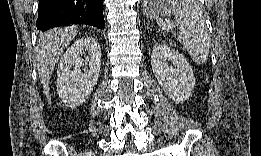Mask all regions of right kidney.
Wrapping results in <instances>:
<instances>
[{"label": "right kidney", "instance_id": "right-kidney-1", "mask_svg": "<svg viewBox=\"0 0 261 156\" xmlns=\"http://www.w3.org/2000/svg\"><path fill=\"white\" fill-rule=\"evenodd\" d=\"M84 52L88 53L85 67L81 58ZM100 66L101 48L94 38L79 39L67 49L57 70L58 94L66 106L75 108L86 101L97 83Z\"/></svg>", "mask_w": 261, "mask_h": 156}]
</instances>
